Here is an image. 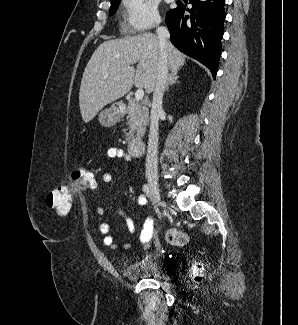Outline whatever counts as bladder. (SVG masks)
Returning <instances> with one entry per match:
<instances>
[{
    "instance_id": "bladder-1",
    "label": "bladder",
    "mask_w": 298,
    "mask_h": 325,
    "mask_svg": "<svg viewBox=\"0 0 298 325\" xmlns=\"http://www.w3.org/2000/svg\"><path fill=\"white\" fill-rule=\"evenodd\" d=\"M121 272L129 280H164L166 278L161 269L159 256L153 254L145 255L134 262L127 263L122 267Z\"/></svg>"
}]
</instances>
